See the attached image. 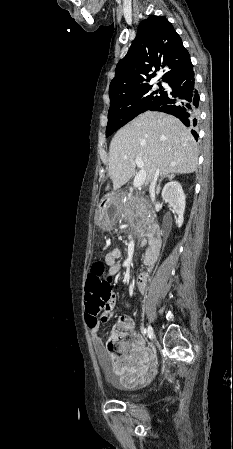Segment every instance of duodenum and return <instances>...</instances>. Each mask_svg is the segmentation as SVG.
Wrapping results in <instances>:
<instances>
[{
    "label": "duodenum",
    "mask_w": 233,
    "mask_h": 449,
    "mask_svg": "<svg viewBox=\"0 0 233 449\" xmlns=\"http://www.w3.org/2000/svg\"><path fill=\"white\" fill-rule=\"evenodd\" d=\"M111 203L110 199H107L106 202H103L101 204V207L103 209H107L109 207V204ZM162 248V241H161V235L159 231L153 232L150 238V247L146 251L144 255V261L146 264V269L144 272H147L148 274L151 273ZM149 280V279H148Z\"/></svg>",
    "instance_id": "obj_1"
}]
</instances>
